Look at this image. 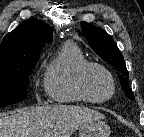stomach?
<instances>
[{"label":"stomach","instance_id":"1","mask_svg":"<svg viewBox=\"0 0 144 137\" xmlns=\"http://www.w3.org/2000/svg\"><path fill=\"white\" fill-rule=\"evenodd\" d=\"M110 132V127L100 120L81 127L78 137H109Z\"/></svg>","mask_w":144,"mask_h":137}]
</instances>
